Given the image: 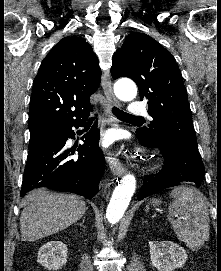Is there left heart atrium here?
I'll return each mask as SVG.
<instances>
[{
  "label": "left heart atrium",
  "instance_id": "obj_1",
  "mask_svg": "<svg viewBox=\"0 0 221 271\" xmlns=\"http://www.w3.org/2000/svg\"><path fill=\"white\" fill-rule=\"evenodd\" d=\"M118 137H119V134L114 131H108L103 135L104 141L108 144L113 143Z\"/></svg>",
  "mask_w": 221,
  "mask_h": 271
}]
</instances>
